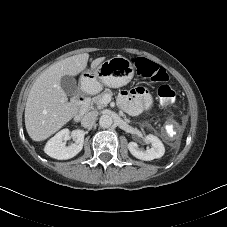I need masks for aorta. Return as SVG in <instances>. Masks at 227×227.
<instances>
[{"label":"aorta","mask_w":227,"mask_h":227,"mask_svg":"<svg viewBox=\"0 0 227 227\" xmlns=\"http://www.w3.org/2000/svg\"><path fill=\"white\" fill-rule=\"evenodd\" d=\"M113 123L112 117L107 114H103L99 119V125L102 128H109Z\"/></svg>","instance_id":"762f6f07"}]
</instances>
